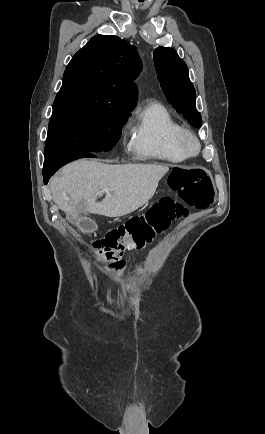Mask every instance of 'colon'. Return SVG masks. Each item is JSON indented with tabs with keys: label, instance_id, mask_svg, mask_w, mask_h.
Masks as SVG:
<instances>
[{
	"label": "colon",
	"instance_id": "colon-1",
	"mask_svg": "<svg viewBox=\"0 0 265 434\" xmlns=\"http://www.w3.org/2000/svg\"><path fill=\"white\" fill-rule=\"evenodd\" d=\"M169 187L181 194V201L200 209L214 203L210 172L203 168H168ZM188 207L181 202L164 197L152 205L145 215L110 228L96 240L92 247L98 259L118 268L123 266L120 257L129 250H142L162 236L176 219L185 217Z\"/></svg>",
	"mask_w": 265,
	"mask_h": 434
}]
</instances>
